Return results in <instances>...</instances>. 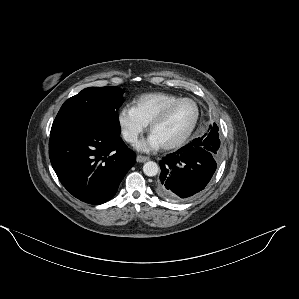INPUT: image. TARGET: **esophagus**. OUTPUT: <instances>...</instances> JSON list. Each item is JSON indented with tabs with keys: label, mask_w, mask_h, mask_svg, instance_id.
Returning a JSON list of instances; mask_svg holds the SVG:
<instances>
[{
	"label": "esophagus",
	"mask_w": 299,
	"mask_h": 299,
	"mask_svg": "<svg viewBox=\"0 0 299 299\" xmlns=\"http://www.w3.org/2000/svg\"><path fill=\"white\" fill-rule=\"evenodd\" d=\"M149 159H150L149 157H147V156H143V155H137V157H136L137 162H140V163H142V162H146V161H148Z\"/></svg>",
	"instance_id": "34e87169"
}]
</instances>
